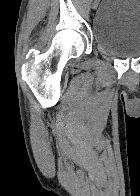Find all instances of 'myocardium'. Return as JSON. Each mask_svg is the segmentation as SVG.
Instances as JSON below:
<instances>
[{
	"mask_svg": "<svg viewBox=\"0 0 140 196\" xmlns=\"http://www.w3.org/2000/svg\"><path fill=\"white\" fill-rule=\"evenodd\" d=\"M88 192H104V191H88ZM122 192H126V191H122Z\"/></svg>",
	"mask_w": 140,
	"mask_h": 196,
	"instance_id": "1",
	"label": "myocardium"
}]
</instances>
